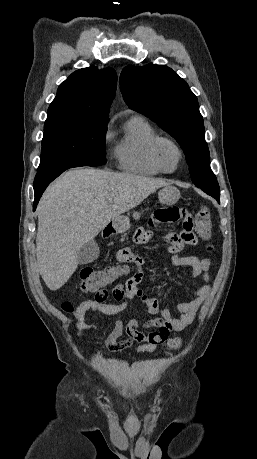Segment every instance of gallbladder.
<instances>
[{
  "label": "gallbladder",
  "mask_w": 257,
  "mask_h": 459,
  "mask_svg": "<svg viewBox=\"0 0 257 459\" xmlns=\"http://www.w3.org/2000/svg\"><path fill=\"white\" fill-rule=\"evenodd\" d=\"M99 247L95 240H91L84 244L78 252V263L88 264L96 260L99 256Z\"/></svg>",
  "instance_id": "bac80fb5"
}]
</instances>
